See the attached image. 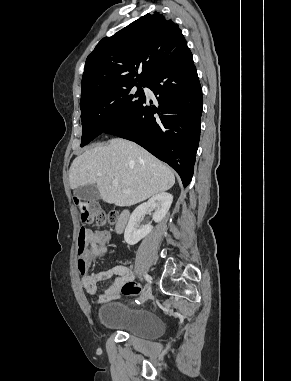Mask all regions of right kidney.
Wrapping results in <instances>:
<instances>
[{
    "label": "right kidney",
    "instance_id": "right-kidney-1",
    "mask_svg": "<svg viewBox=\"0 0 291 381\" xmlns=\"http://www.w3.org/2000/svg\"><path fill=\"white\" fill-rule=\"evenodd\" d=\"M173 202V196L169 193H158L151 197L146 203L139 205L131 214L124 232L127 244L135 245L146 237L153 229L150 224L141 225V220L148 210H154L153 220L158 223L166 216Z\"/></svg>",
    "mask_w": 291,
    "mask_h": 381
}]
</instances>
